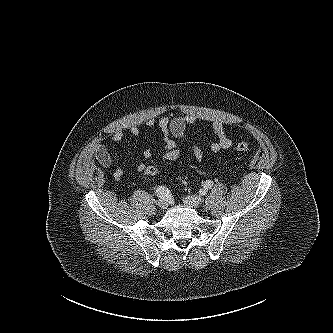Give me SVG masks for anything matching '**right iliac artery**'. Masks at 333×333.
<instances>
[{
	"label": "right iliac artery",
	"mask_w": 333,
	"mask_h": 333,
	"mask_svg": "<svg viewBox=\"0 0 333 333\" xmlns=\"http://www.w3.org/2000/svg\"><path fill=\"white\" fill-rule=\"evenodd\" d=\"M157 196L160 198H169L170 197V191L168 188L164 186H159L156 190Z\"/></svg>",
	"instance_id": "82829eb1"
}]
</instances>
